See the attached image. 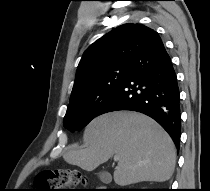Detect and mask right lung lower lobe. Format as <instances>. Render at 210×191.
<instances>
[{"label":"right lung lower lobe","mask_w":210,"mask_h":191,"mask_svg":"<svg viewBox=\"0 0 210 191\" xmlns=\"http://www.w3.org/2000/svg\"><path fill=\"white\" fill-rule=\"evenodd\" d=\"M132 110L156 120L177 148L181 135L180 92L171 59L158 34L129 64L126 78L103 105L99 115Z\"/></svg>","instance_id":"1"}]
</instances>
